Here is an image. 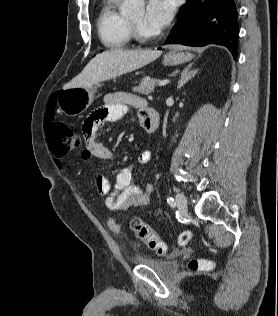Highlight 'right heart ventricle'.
Here are the masks:
<instances>
[{
  "instance_id": "obj_1",
  "label": "right heart ventricle",
  "mask_w": 278,
  "mask_h": 316,
  "mask_svg": "<svg viewBox=\"0 0 278 316\" xmlns=\"http://www.w3.org/2000/svg\"><path fill=\"white\" fill-rule=\"evenodd\" d=\"M120 0H103L97 18V30L102 44L119 49L130 44L132 31L129 19L118 10Z\"/></svg>"
}]
</instances>
